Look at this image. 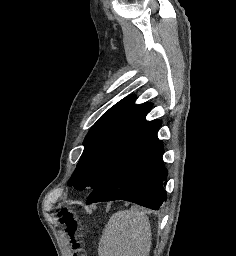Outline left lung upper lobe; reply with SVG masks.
<instances>
[{
    "instance_id": "left-lung-upper-lobe-1",
    "label": "left lung upper lobe",
    "mask_w": 236,
    "mask_h": 256,
    "mask_svg": "<svg viewBox=\"0 0 236 256\" xmlns=\"http://www.w3.org/2000/svg\"><path fill=\"white\" fill-rule=\"evenodd\" d=\"M128 96L106 111L90 129L83 142L84 150L68 182L77 190L94 189L112 170L119 156L147 122L152 104H134Z\"/></svg>"
}]
</instances>
